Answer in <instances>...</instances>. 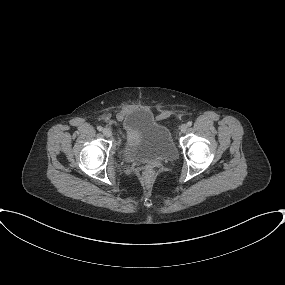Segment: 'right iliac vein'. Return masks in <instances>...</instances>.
Segmentation results:
<instances>
[{
	"label": "right iliac vein",
	"mask_w": 285,
	"mask_h": 285,
	"mask_svg": "<svg viewBox=\"0 0 285 285\" xmlns=\"http://www.w3.org/2000/svg\"><path fill=\"white\" fill-rule=\"evenodd\" d=\"M102 133L106 137H110L112 135V132H111V130L109 128H104Z\"/></svg>",
	"instance_id": "obj_1"
}]
</instances>
